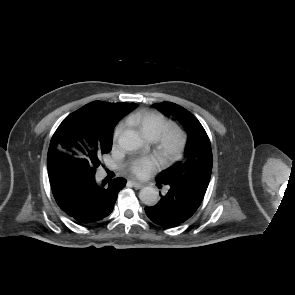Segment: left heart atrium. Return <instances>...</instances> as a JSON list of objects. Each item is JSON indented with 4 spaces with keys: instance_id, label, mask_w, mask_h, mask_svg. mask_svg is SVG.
Returning <instances> with one entry per match:
<instances>
[{
    "instance_id": "left-heart-atrium-1",
    "label": "left heart atrium",
    "mask_w": 295,
    "mask_h": 295,
    "mask_svg": "<svg viewBox=\"0 0 295 295\" xmlns=\"http://www.w3.org/2000/svg\"><path fill=\"white\" fill-rule=\"evenodd\" d=\"M160 166V159L157 156L149 155L135 158L129 165L131 174L139 179L148 177Z\"/></svg>"
}]
</instances>
